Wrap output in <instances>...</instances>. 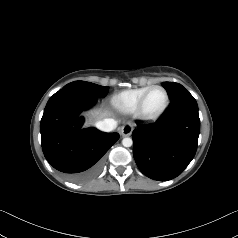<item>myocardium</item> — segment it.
I'll use <instances>...</instances> for the list:
<instances>
[{
    "label": "myocardium",
    "mask_w": 238,
    "mask_h": 238,
    "mask_svg": "<svg viewBox=\"0 0 238 238\" xmlns=\"http://www.w3.org/2000/svg\"><path fill=\"white\" fill-rule=\"evenodd\" d=\"M154 89H161L164 92L165 103H164L163 107L158 112H156L154 114H148L145 111V103H146L147 97ZM169 103H170V97H169V93L166 90V88H164L161 85L150 86L146 90V92L142 95V97L140 98V100L138 102L137 108L135 110L136 116L143 121H147V122L156 121L165 113V111L167 110V108L169 106Z\"/></svg>",
    "instance_id": "1"
}]
</instances>
